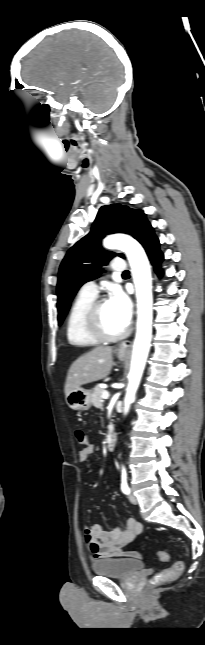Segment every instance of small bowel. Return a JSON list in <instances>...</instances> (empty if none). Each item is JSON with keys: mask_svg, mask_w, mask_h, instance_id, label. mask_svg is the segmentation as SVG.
<instances>
[{"mask_svg": "<svg viewBox=\"0 0 205 645\" xmlns=\"http://www.w3.org/2000/svg\"><path fill=\"white\" fill-rule=\"evenodd\" d=\"M95 452V447L89 445L79 451V460H88ZM143 530L142 524L134 518H129L124 527L116 526L105 531L101 524L94 523L84 529V540L90 555L95 559H107L119 556L138 557L135 552L124 554L121 547L131 542Z\"/></svg>", "mask_w": 205, "mask_h": 645, "instance_id": "obj_1", "label": "small bowel"}]
</instances>
